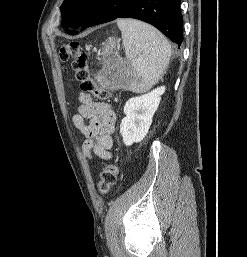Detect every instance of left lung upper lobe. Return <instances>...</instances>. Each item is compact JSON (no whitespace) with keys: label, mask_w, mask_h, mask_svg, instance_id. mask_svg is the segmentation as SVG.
<instances>
[{"label":"left lung upper lobe","mask_w":247,"mask_h":257,"mask_svg":"<svg viewBox=\"0 0 247 257\" xmlns=\"http://www.w3.org/2000/svg\"><path fill=\"white\" fill-rule=\"evenodd\" d=\"M99 1L100 0H64L61 5V24L66 27V32L68 34L77 32L68 29V27L79 28Z\"/></svg>","instance_id":"5c2ea615"}]
</instances>
